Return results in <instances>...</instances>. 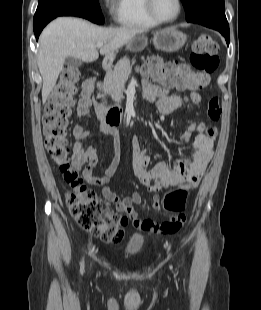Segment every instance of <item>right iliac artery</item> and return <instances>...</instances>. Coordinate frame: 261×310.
<instances>
[{
	"label": "right iliac artery",
	"instance_id": "obj_1",
	"mask_svg": "<svg viewBox=\"0 0 261 310\" xmlns=\"http://www.w3.org/2000/svg\"><path fill=\"white\" fill-rule=\"evenodd\" d=\"M84 262L81 263V273H83Z\"/></svg>",
	"mask_w": 261,
	"mask_h": 310
}]
</instances>
